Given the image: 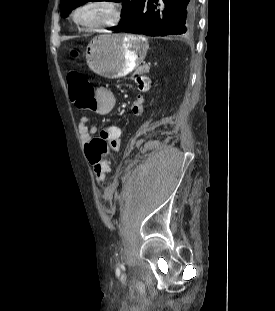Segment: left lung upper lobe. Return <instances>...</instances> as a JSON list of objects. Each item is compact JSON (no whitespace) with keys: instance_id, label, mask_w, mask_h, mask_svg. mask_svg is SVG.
Here are the masks:
<instances>
[{"instance_id":"left-lung-upper-lobe-1","label":"left lung upper lobe","mask_w":275,"mask_h":311,"mask_svg":"<svg viewBox=\"0 0 275 311\" xmlns=\"http://www.w3.org/2000/svg\"><path fill=\"white\" fill-rule=\"evenodd\" d=\"M91 1H103V0H61L60 6L64 17H67L72 9L78 7L81 4ZM114 2H122L123 7L121 11L120 28L126 26L132 22L143 3L144 0H106Z\"/></svg>"}]
</instances>
